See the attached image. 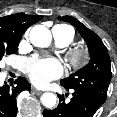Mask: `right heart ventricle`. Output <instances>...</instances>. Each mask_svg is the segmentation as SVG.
Segmentation results:
<instances>
[{"label": "right heart ventricle", "mask_w": 117, "mask_h": 117, "mask_svg": "<svg viewBox=\"0 0 117 117\" xmlns=\"http://www.w3.org/2000/svg\"><path fill=\"white\" fill-rule=\"evenodd\" d=\"M53 31H56V39L58 40H65L69 43L74 38V31L71 27L67 25H56L53 27Z\"/></svg>", "instance_id": "1"}]
</instances>
